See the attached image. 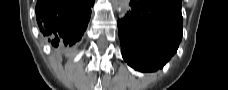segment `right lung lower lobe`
<instances>
[{
    "mask_svg": "<svg viewBox=\"0 0 228 90\" xmlns=\"http://www.w3.org/2000/svg\"><path fill=\"white\" fill-rule=\"evenodd\" d=\"M94 0H37L36 19L44 36L58 51H67L87 28Z\"/></svg>",
    "mask_w": 228,
    "mask_h": 90,
    "instance_id": "1",
    "label": "right lung lower lobe"
}]
</instances>
